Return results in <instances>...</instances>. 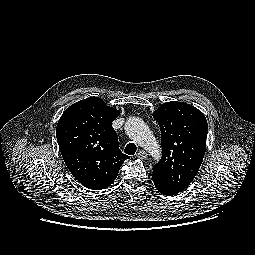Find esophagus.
<instances>
[{"label":"esophagus","mask_w":255,"mask_h":255,"mask_svg":"<svg viewBox=\"0 0 255 255\" xmlns=\"http://www.w3.org/2000/svg\"><path fill=\"white\" fill-rule=\"evenodd\" d=\"M136 157L139 159H144L146 158V152L144 150H140L139 152L136 153Z\"/></svg>","instance_id":"1"}]
</instances>
